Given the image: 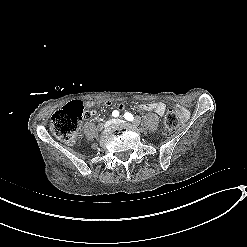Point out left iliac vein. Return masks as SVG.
I'll return each mask as SVG.
<instances>
[{
	"label": "left iliac vein",
	"instance_id": "1",
	"mask_svg": "<svg viewBox=\"0 0 247 247\" xmlns=\"http://www.w3.org/2000/svg\"><path fill=\"white\" fill-rule=\"evenodd\" d=\"M114 123H115V124H121V123H124V121L121 120V119H115V120H114Z\"/></svg>",
	"mask_w": 247,
	"mask_h": 247
}]
</instances>
